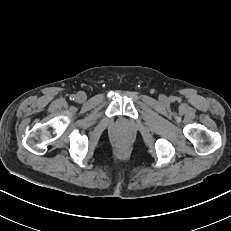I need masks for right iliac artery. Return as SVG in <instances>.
<instances>
[{"instance_id":"obj_1","label":"right iliac artery","mask_w":231,"mask_h":231,"mask_svg":"<svg viewBox=\"0 0 231 231\" xmlns=\"http://www.w3.org/2000/svg\"><path fill=\"white\" fill-rule=\"evenodd\" d=\"M70 99H71V100H74V99H75V95H71V96H70Z\"/></svg>"}]
</instances>
